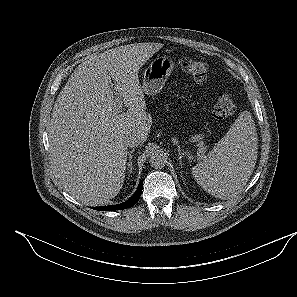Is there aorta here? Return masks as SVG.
<instances>
[{
    "mask_svg": "<svg viewBox=\"0 0 297 297\" xmlns=\"http://www.w3.org/2000/svg\"><path fill=\"white\" fill-rule=\"evenodd\" d=\"M149 162L153 168H163L167 163V156L163 151L156 150L150 154Z\"/></svg>",
    "mask_w": 297,
    "mask_h": 297,
    "instance_id": "aorta-1",
    "label": "aorta"
}]
</instances>
